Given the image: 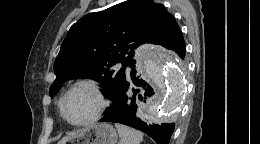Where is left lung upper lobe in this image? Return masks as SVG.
<instances>
[{
  "mask_svg": "<svg viewBox=\"0 0 260 144\" xmlns=\"http://www.w3.org/2000/svg\"><path fill=\"white\" fill-rule=\"evenodd\" d=\"M180 32L175 18L152 0H127L106 10L90 13L72 25L54 63L53 97L61 84L73 78L101 82L112 100L132 66L134 52L143 43L165 46ZM121 63L120 70L112 67Z\"/></svg>",
  "mask_w": 260,
  "mask_h": 144,
  "instance_id": "obj_1",
  "label": "left lung upper lobe"
}]
</instances>
